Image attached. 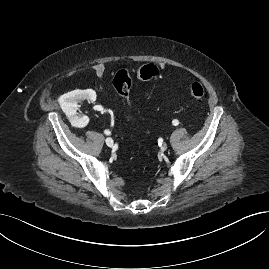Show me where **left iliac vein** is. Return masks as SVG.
Listing matches in <instances>:
<instances>
[{"label":"left iliac vein","instance_id":"left-iliac-vein-1","mask_svg":"<svg viewBox=\"0 0 269 269\" xmlns=\"http://www.w3.org/2000/svg\"><path fill=\"white\" fill-rule=\"evenodd\" d=\"M167 148H168V145H167L166 143H163V144L160 146L161 151H165Z\"/></svg>","mask_w":269,"mask_h":269}]
</instances>
